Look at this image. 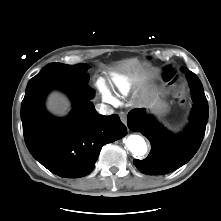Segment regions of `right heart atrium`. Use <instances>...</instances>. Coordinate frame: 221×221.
Instances as JSON below:
<instances>
[{
    "instance_id": "d8ad5b80",
    "label": "right heart atrium",
    "mask_w": 221,
    "mask_h": 221,
    "mask_svg": "<svg viewBox=\"0 0 221 221\" xmlns=\"http://www.w3.org/2000/svg\"><path fill=\"white\" fill-rule=\"evenodd\" d=\"M103 91H104V94H105L106 99L109 100V101H111V100H112V97H111L110 93H109L107 90H105V89H104Z\"/></svg>"
}]
</instances>
